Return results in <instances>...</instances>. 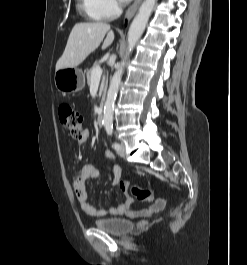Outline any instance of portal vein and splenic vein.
Wrapping results in <instances>:
<instances>
[{
    "label": "portal vein and splenic vein",
    "mask_w": 247,
    "mask_h": 265,
    "mask_svg": "<svg viewBox=\"0 0 247 265\" xmlns=\"http://www.w3.org/2000/svg\"><path fill=\"white\" fill-rule=\"evenodd\" d=\"M101 75H102V69L101 67L98 66L93 70L91 78L92 80H99L101 78Z\"/></svg>",
    "instance_id": "1"
}]
</instances>
